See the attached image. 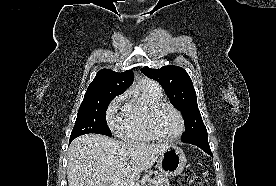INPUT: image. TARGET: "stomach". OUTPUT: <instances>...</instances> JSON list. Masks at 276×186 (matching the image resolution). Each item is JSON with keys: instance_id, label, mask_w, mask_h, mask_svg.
I'll list each match as a JSON object with an SVG mask.
<instances>
[{"instance_id": "stomach-1", "label": "stomach", "mask_w": 276, "mask_h": 186, "mask_svg": "<svg viewBox=\"0 0 276 186\" xmlns=\"http://www.w3.org/2000/svg\"><path fill=\"white\" fill-rule=\"evenodd\" d=\"M186 157L182 149L171 145L158 158V168L166 176H174L180 174L185 165Z\"/></svg>"}]
</instances>
